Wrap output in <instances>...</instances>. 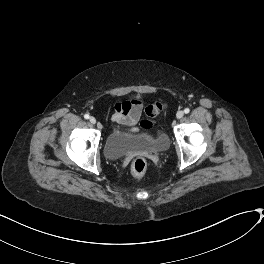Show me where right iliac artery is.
I'll use <instances>...</instances> for the list:
<instances>
[{
    "label": "right iliac artery",
    "instance_id": "82829eb1",
    "mask_svg": "<svg viewBox=\"0 0 264 264\" xmlns=\"http://www.w3.org/2000/svg\"><path fill=\"white\" fill-rule=\"evenodd\" d=\"M84 118H85V119H89V118H90L89 114H85V115H84Z\"/></svg>",
    "mask_w": 264,
    "mask_h": 264
}]
</instances>
